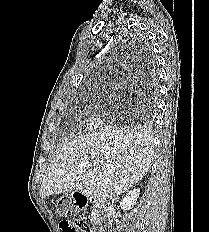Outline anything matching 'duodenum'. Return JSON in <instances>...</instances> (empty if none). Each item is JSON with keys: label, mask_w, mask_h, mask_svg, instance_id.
Returning <instances> with one entry per match:
<instances>
[{"label": "duodenum", "mask_w": 209, "mask_h": 232, "mask_svg": "<svg viewBox=\"0 0 209 232\" xmlns=\"http://www.w3.org/2000/svg\"><path fill=\"white\" fill-rule=\"evenodd\" d=\"M75 198L80 208L86 206L88 203L93 205L94 232H106L110 226L107 215V203L101 198L87 197L81 192H77Z\"/></svg>", "instance_id": "1"}]
</instances>
